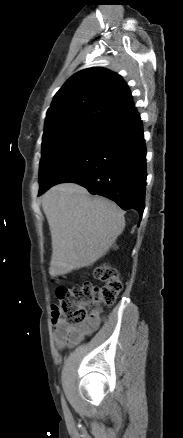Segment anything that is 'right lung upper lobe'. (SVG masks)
Listing matches in <instances>:
<instances>
[{"label":"right lung upper lobe","instance_id":"cb5924a9","mask_svg":"<svg viewBox=\"0 0 183 438\" xmlns=\"http://www.w3.org/2000/svg\"><path fill=\"white\" fill-rule=\"evenodd\" d=\"M132 108L129 88L118 74L104 68L85 69L56 93L44 134L79 125L99 127Z\"/></svg>","mask_w":183,"mask_h":438}]
</instances>
